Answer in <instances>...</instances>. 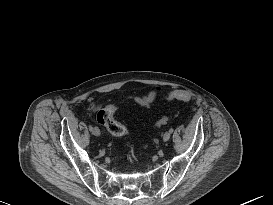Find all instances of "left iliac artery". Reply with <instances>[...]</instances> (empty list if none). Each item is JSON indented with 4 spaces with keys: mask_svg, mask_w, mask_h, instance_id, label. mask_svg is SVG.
<instances>
[{
    "mask_svg": "<svg viewBox=\"0 0 273 205\" xmlns=\"http://www.w3.org/2000/svg\"><path fill=\"white\" fill-rule=\"evenodd\" d=\"M173 131H174L173 128H170V129H169V132H170V133H173Z\"/></svg>",
    "mask_w": 273,
    "mask_h": 205,
    "instance_id": "left-iliac-artery-1",
    "label": "left iliac artery"
}]
</instances>
